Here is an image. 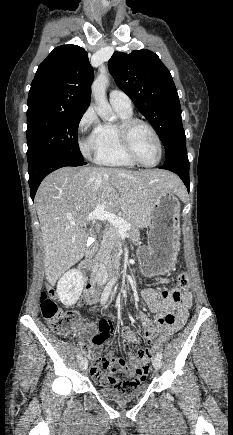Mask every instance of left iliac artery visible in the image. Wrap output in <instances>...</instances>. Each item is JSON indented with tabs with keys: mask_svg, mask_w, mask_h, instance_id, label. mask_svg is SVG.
I'll list each match as a JSON object with an SVG mask.
<instances>
[{
	"mask_svg": "<svg viewBox=\"0 0 233 435\" xmlns=\"http://www.w3.org/2000/svg\"><path fill=\"white\" fill-rule=\"evenodd\" d=\"M157 356L162 358V353L161 352H157Z\"/></svg>",
	"mask_w": 233,
	"mask_h": 435,
	"instance_id": "44dca946",
	"label": "left iliac artery"
}]
</instances>
